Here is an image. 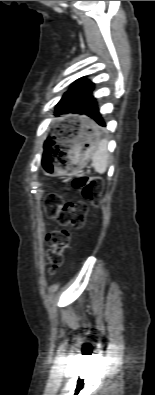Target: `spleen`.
Returning a JSON list of instances; mask_svg holds the SVG:
<instances>
[{
	"instance_id": "3e777b00",
	"label": "spleen",
	"mask_w": 155,
	"mask_h": 395,
	"mask_svg": "<svg viewBox=\"0 0 155 395\" xmlns=\"http://www.w3.org/2000/svg\"><path fill=\"white\" fill-rule=\"evenodd\" d=\"M108 141L106 139L100 140L98 144V149L95 151L92 157V166L98 173H104L108 165Z\"/></svg>"
}]
</instances>
